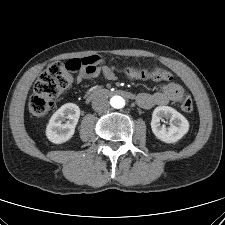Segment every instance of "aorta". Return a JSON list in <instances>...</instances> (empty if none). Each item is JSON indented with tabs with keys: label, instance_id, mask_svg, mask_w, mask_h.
<instances>
[{
	"label": "aorta",
	"instance_id": "1",
	"mask_svg": "<svg viewBox=\"0 0 225 225\" xmlns=\"http://www.w3.org/2000/svg\"><path fill=\"white\" fill-rule=\"evenodd\" d=\"M111 106L116 109H121L125 106V100L121 96H113L110 100Z\"/></svg>",
	"mask_w": 225,
	"mask_h": 225
}]
</instances>
